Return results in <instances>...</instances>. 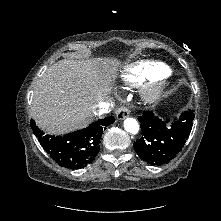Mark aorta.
Wrapping results in <instances>:
<instances>
[{"label":"aorta","mask_w":221,"mask_h":221,"mask_svg":"<svg viewBox=\"0 0 221 221\" xmlns=\"http://www.w3.org/2000/svg\"><path fill=\"white\" fill-rule=\"evenodd\" d=\"M124 129L131 134H137L139 131V124L134 118H126L124 120Z\"/></svg>","instance_id":"aorta-1"}]
</instances>
